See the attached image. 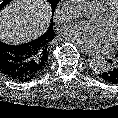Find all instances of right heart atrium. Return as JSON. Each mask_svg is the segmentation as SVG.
Wrapping results in <instances>:
<instances>
[{"mask_svg":"<svg viewBox=\"0 0 118 118\" xmlns=\"http://www.w3.org/2000/svg\"><path fill=\"white\" fill-rule=\"evenodd\" d=\"M74 0H62L61 7L55 11V19L59 23H63L69 21L72 18L70 11L68 10V6Z\"/></svg>","mask_w":118,"mask_h":118,"instance_id":"obj_1","label":"right heart atrium"}]
</instances>
